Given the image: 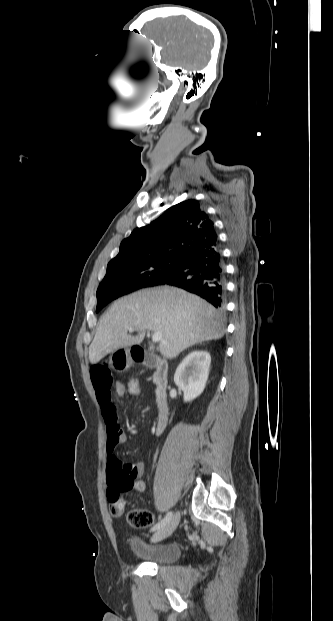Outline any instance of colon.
Wrapping results in <instances>:
<instances>
[{
	"mask_svg": "<svg viewBox=\"0 0 333 621\" xmlns=\"http://www.w3.org/2000/svg\"><path fill=\"white\" fill-rule=\"evenodd\" d=\"M124 387L125 395H129L132 398H137L139 396L141 386L138 378H132L125 382ZM107 478L109 485L117 491L125 492L134 487V480L131 477L130 471L118 461H113L109 464ZM123 510L124 505L120 502H115L110 505V513L113 516H120ZM127 521L129 525L134 528H146L152 525L154 516L146 509L136 508L128 512Z\"/></svg>",
	"mask_w": 333,
	"mask_h": 621,
	"instance_id": "obj_1",
	"label": "colon"
}]
</instances>
